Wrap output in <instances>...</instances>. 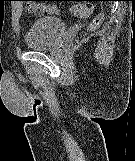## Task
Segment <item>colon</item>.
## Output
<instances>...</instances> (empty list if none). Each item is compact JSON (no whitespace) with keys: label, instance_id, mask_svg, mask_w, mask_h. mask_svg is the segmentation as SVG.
<instances>
[{"label":"colon","instance_id":"obj_1","mask_svg":"<svg viewBox=\"0 0 135 161\" xmlns=\"http://www.w3.org/2000/svg\"><path fill=\"white\" fill-rule=\"evenodd\" d=\"M92 5L88 3L72 4L69 8L70 14L78 17H88L92 12ZM104 14H98L93 18L89 24V30L94 31L98 29L104 21Z\"/></svg>","mask_w":135,"mask_h":161}]
</instances>
